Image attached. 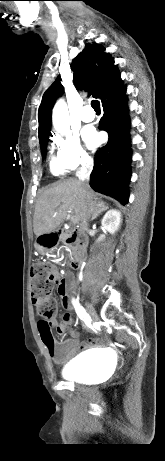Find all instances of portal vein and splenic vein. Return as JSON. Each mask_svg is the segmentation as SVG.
<instances>
[{"mask_svg": "<svg viewBox=\"0 0 165 461\" xmlns=\"http://www.w3.org/2000/svg\"><path fill=\"white\" fill-rule=\"evenodd\" d=\"M71 221H72L74 224L78 223L77 219L74 218V217H71Z\"/></svg>", "mask_w": 165, "mask_h": 461, "instance_id": "portal-vein-and-splenic-vein-1", "label": "portal vein and splenic vein"}]
</instances>
